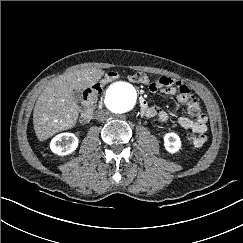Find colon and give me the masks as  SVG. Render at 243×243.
Returning a JSON list of instances; mask_svg holds the SVG:
<instances>
[{"label":"colon","mask_w":243,"mask_h":243,"mask_svg":"<svg viewBox=\"0 0 243 243\" xmlns=\"http://www.w3.org/2000/svg\"><path fill=\"white\" fill-rule=\"evenodd\" d=\"M118 77H119L118 73L109 72L105 75L104 79L101 82H99L85 90V92L83 94V106L80 111V121L81 122L85 123L90 120L92 113H93L95 103L97 101V98H98L99 94L101 93L103 84L105 82L117 79ZM128 78L130 81H132L134 83L149 84V78L143 72H135V73L131 74ZM186 137H187V140L193 145H196L199 141L198 135H195L193 133H188Z\"/></svg>","instance_id":"obj_1"}]
</instances>
